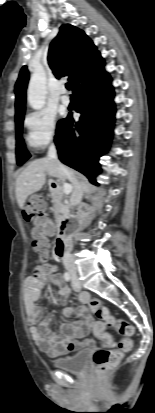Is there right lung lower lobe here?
<instances>
[{
    "label": "right lung lower lobe",
    "mask_w": 155,
    "mask_h": 413,
    "mask_svg": "<svg viewBox=\"0 0 155 413\" xmlns=\"http://www.w3.org/2000/svg\"><path fill=\"white\" fill-rule=\"evenodd\" d=\"M81 113L79 122L72 115L64 119L55 136L59 159L66 165L86 175L97 184L100 173L99 157L105 154L112 138L115 121L114 90L111 78L104 70L82 83L74 92ZM78 130L79 140L74 131Z\"/></svg>",
    "instance_id": "1"
}]
</instances>
